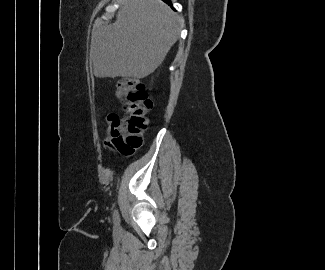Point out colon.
Listing matches in <instances>:
<instances>
[{"label":"colon","mask_w":325,"mask_h":270,"mask_svg":"<svg viewBox=\"0 0 325 270\" xmlns=\"http://www.w3.org/2000/svg\"><path fill=\"white\" fill-rule=\"evenodd\" d=\"M116 95L125 114L119 118L110 136L122 154L131 155L142 145L152 101L144 84L134 78L120 79L117 82Z\"/></svg>","instance_id":"obj_1"}]
</instances>
